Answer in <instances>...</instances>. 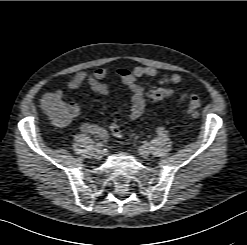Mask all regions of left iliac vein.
I'll return each instance as SVG.
<instances>
[{
	"label": "left iliac vein",
	"instance_id": "4c4485c4",
	"mask_svg": "<svg viewBox=\"0 0 247 245\" xmlns=\"http://www.w3.org/2000/svg\"><path fill=\"white\" fill-rule=\"evenodd\" d=\"M138 153L144 157V158H147L149 155H150V150L148 147L146 146H141L139 149H138Z\"/></svg>",
	"mask_w": 247,
	"mask_h": 245
}]
</instances>
